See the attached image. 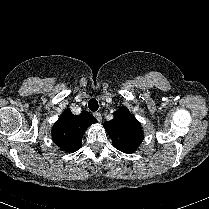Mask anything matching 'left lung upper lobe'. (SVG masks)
I'll return each instance as SVG.
<instances>
[{"label": "left lung upper lobe", "instance_id": "left-lung-upper-lobe-1", "mask_svg": "<svg viewBox=\"0 0 209 209\" xmlns=\"http://www.w3.org/2000/svg\"><path fill=\"white\" fill-rule=\"evenodd\" d=\"M104 127L111 137L113 146L124 153L135 152L143 140L140 122L126 107L118 109L114 118L105 122Z\"/></svg>", "mask_w": 209, "mask_h": 209}]
</instances>
